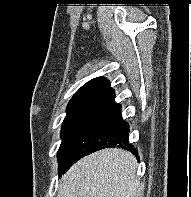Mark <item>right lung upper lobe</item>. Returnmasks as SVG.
<instances>
[{"label":"right lung upper lobe","mask_w":191,"mask_h":197,"mask_svg":"<svg viewBox=\"0 0 191 197\" xmlns=\"http://www.w3.org/2000/svg\"><path fill=\"white\" fill-rule=\"evenodd\" d=\"M114 90L109 81L104 77H97L84 84L70 100L66 111H76L82 109H92L103 101Z\"/></svg>","instance_id":"right-lung-upper-lobe-1"}]
</instances>
